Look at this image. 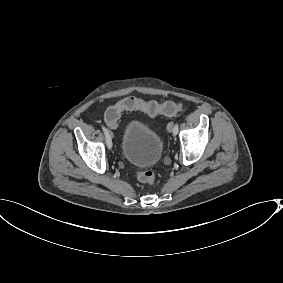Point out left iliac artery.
<instances>
[{
	"instance_id": "44dca946",
	"label": "left iliac artery",
	"mask_w": 283,
	"mask_h": 283,
	"mask_svg": "<svg viewBox=\"0 0 283 283\" xmlns=\"http://www.w3.org/2000/svg\"><path fill=\"white\" fill-rule=\"evenodd\" d=\"M178 131H179V125H178V123H176L174 125L173 135L176 136L178 134Z\"/></svg>"
}]
</instances>
